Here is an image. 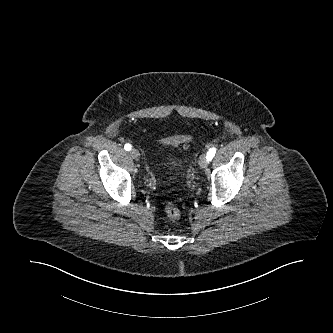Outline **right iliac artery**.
<instances>
[{"label": "right iliac artery", "mask_w": 333, "mask_h": 333, "mask_svg": "<svg viewBox=\"0 0 333 333\" xmlns=\"http://www.w3.org/2000/svg\"><path fill=\"white\" fill-rule=\"evenodd\" d=\"M124 148L126 151H130L132 149V146H131V144L127 143V144H125Z\"/></svg>", "instance_id": "right-iliac-artery-1"}]
</instances>
